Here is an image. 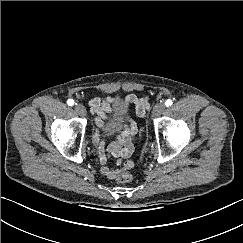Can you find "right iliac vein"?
Instances as JSON below:
<instances>
[{
	"instance_id": "obj_1",
	"label": "right iliac vein",
	"mask_w": 243,
	"mask_h": 243,
	"mask_svg": "<svg viewBox=\"0 0 243 243\" xmlns=\"http://www.w3.org/2000/svg\"><path fill=\"white\" fill-rule=\"evenodd\" d=\"M75 111L80 116H85L86 115V109H85V107L82 104H76L75 105Z\"/></svg>"
}]
</instances>
